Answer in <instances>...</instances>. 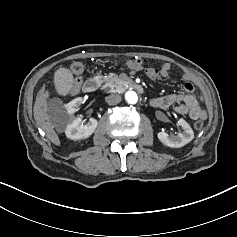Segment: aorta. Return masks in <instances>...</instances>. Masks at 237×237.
<instances>
[{"mask_svg":"<svg viewBox=\"0 0 237 237\" xmlns=\"http://www.w3.org/2000/svg\"><path fill=\"white\" fill-rule=\"evenodd\" d=\"M125 99L130 104H135L138 101V96L134 91H127L125 93Z\"/></svg>","mask_w":237,"mask_h":237,"instance_id":"1","label":"aorta"}]
</instances>
